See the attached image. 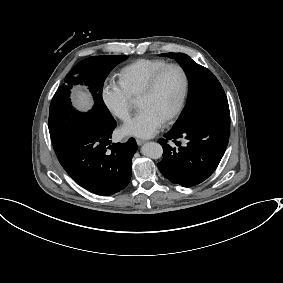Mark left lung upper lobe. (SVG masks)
Segmentation results:
<instances>
[{"label":"left lung upper lobe","mask_w":283,"mask_h":283,"mask_svg":"<svg viewBox=\"0 0 283 283\" xmlns=\"http://www.w3.org/2000/svg\"><path fill=\"white\" fill-rule=\"evenodd\" d=\"M175 58L188 76L189 94L174 128H186L192 124L214 119L229 118V105L225 92L217 78L205 67L195 63L183 53H164Z\"/></svg>","instance_id":"5c2ea615"}]
</instances>
